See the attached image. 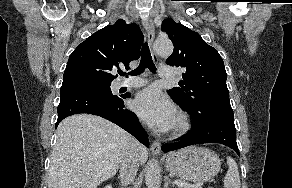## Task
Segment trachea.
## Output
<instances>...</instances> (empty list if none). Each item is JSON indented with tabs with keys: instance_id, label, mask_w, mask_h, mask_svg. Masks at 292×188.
<instances>
[{
	"instance_id": "1",
	"label": "trachea",
	"mask_w": 292,
	"mask_h": 188,
	"mask_svg": "<svg viewBox=\"0 0 292 188\" xmlns=\"http://www.w3.org/2000/svg\"><path fill=\"white\" fill-rule=\"evenodd\" d=\"M145 68H148L153 73L156 71V67L153 63L147 43H144V45L142 46V54L139 66L135 70L131 71L130 74L132 76H137L141 74L145 70ZM120 75H125V73L121 72Z\"/></svg>"
}]
</instances>
